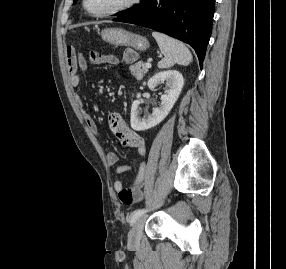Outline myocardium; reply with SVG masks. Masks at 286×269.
<instances>
[{"label":"myocardium","instance_id":"myocardium-1","mask_svg":"<svg viewBox=\"0 0 286 269\" xmlns=\"http://www.w3.org/2000/svg\"><path fill=\"white\" fill-rule=\"evenodd\" d=\"M141 0H126L123 4L107 10V11H103V12H92L89 8H88V0H83V7L84 10L86 11V13L92 17L95 18H107V17H111L114 16L116 14L125 12L131 8H133L135 5H137Z\"/></svg>","mask_w":286,"mask_h":269}]
</instances>
